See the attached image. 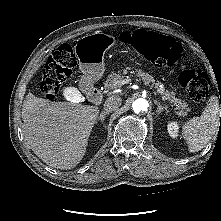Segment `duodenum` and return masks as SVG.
<instances>
[{
  "label": "duodenum",
  "instance_id": "1",
  "mask_svg": "<svg viewBox=\"0 0 221 221\" xmlns=\"http://www.w3.org/2000/svg\"><path fill=\"white\" fill-rule=\"evenodd\" d=\"M87 97L94 102H98L102 98V91L95 86L85 89Z\"/></svg>",
  "mask_w": 221,
  "mask_h": 221
}]
</instances>
